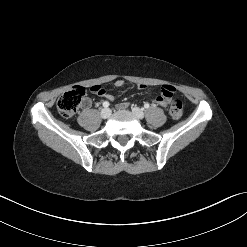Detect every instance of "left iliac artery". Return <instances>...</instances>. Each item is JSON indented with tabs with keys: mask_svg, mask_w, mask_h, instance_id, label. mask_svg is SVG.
<instances>
[{
	"mask_svg": "<svg viewBox=\"0 0 247 247\" xmlns=\"http://www.w3.org/2000/svg\"><path fill=\"white\" fill-rule=\"evenodd\" d=\"M150 107V105L148 103L144 104V108L148 109Z\"/></svg>",
	"mask_w": 247,
	"mask_h": 247,
	"instance_id": "1",
	"label": "left iliac artery"
}]
</instances>
